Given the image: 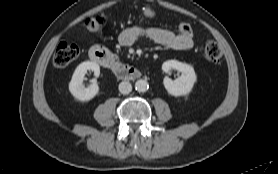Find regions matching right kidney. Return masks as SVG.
<instances>
[{
  "instance_id": "1",
  "label": "right kidney",
  "mask_w": 278,
  "mask_h": 174,
  "mask_svg": "<svg viewBox=\"0 0 278 174\" xmlns=\"http://www.w3.org/2000/svg\"><path fill=\"white\" fill-rule=\"evenodd\" d=\"M88 70L93 71L96 77H98L100 74V67L97 63L85 61L77 66L69 83V91L76 99L80 101L91 100L97 95L99 91V87L95 79L91 81L92 84L87 88H85L83 85L84 76Z\"/></svg>"
}]
</instances>
